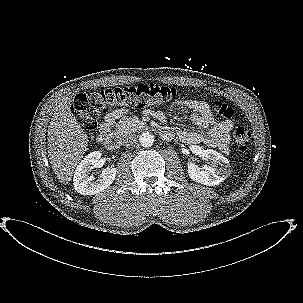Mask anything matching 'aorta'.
Segmentation results:
<instances>
[{
    "label": "aorta",
    "mask_w": 303,
    "mask_h": 303,
    "mask_svg": "<svg viewBox=\"0 0 303 303\" xmlns=\"http://www.w3.org/2000/svg\"><path fill=\"white\" fill-rule=\"evenodd\" d=\"M139 142L143 147H151L154 143V136L150 132H143L139 136Z\"/></svg>",
    "instance_id": "obj_1"
}]
</instances>
